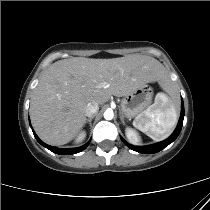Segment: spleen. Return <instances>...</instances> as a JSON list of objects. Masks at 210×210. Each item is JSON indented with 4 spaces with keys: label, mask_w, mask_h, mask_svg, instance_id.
<instances>
[{
    "label": "spleen",
    "mask_w": 210,
    "mask_h": 210,
    "mask_svg": "<svg viewBox=\"0 0 210 210\" xmlns=\"http://www.w3.org/2000/svg\"><path fill=\"white\" fill-rule=\"evenodd\" d=\"M165 90L172 95L174 87L167 80ZM177 123V113L171 97L158 93L154 103L137 116L133 125L155 141L167 138Z\"/></svg>",
    "instance_id": "spleen-1"
}]
</instances>
